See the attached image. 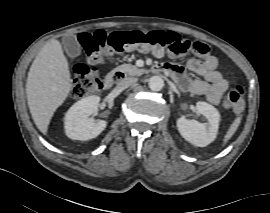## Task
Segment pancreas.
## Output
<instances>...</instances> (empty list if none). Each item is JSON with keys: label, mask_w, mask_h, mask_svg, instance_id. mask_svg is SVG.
Masks as SVG:
<instances>
[{"label": "pancreas", "mask_w": 270, "mask_h": 213, "mask_svg": "<svg viewBox=\"0 0 270 213\" xmlns=\"http://www.w3.org/2000/svg\"><path fill=\"white\" fill-rule=\"evenodd\" d=\"M116 70L129 76H140L145 72L144 69H139L135 65H132V64H122L118 66Z\"/></svg>", "instance_id": "obj_1"}]
</instances>
